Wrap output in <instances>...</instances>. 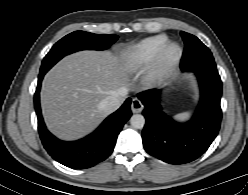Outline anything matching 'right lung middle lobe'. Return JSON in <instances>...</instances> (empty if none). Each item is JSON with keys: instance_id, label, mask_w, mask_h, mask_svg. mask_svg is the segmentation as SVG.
<instances>
[{"instance_id": "right-lung-middle-lobe-1", "label": "right lung middle lobe", "mask_w": 248, "mask_h": 195, "mask_svg": "<svg viewBox=\"0 0 248 195\" xmlns=\"http://www.w3.org/2000/svg\"><path fill=\"white\" fill-rule=\"evenodd\" d=\"M118 39L117 35L75 31L59 40L42 61L40 73L47 72L64 56L79 50H104Z\"/></svg>"}]
</instances>
